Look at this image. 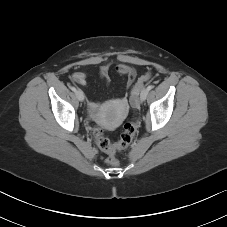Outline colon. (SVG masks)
<instances>
[{"instance_id": "1", "label": "colon", "mask_w": 227, "mask_h": 227, "mask_svg": "<svg viewBox=\"0 0 227 227\" xmlns=\"http://www.w3.org/2000/svg\"><path fill=\"white\" fill-rule=\"evenodd\" d=\"M152 78L151 73H146L142 75L131 92V101L134 103L135 97L139 90ZM136 133V123L135 122H127L123 126L122 133L120 135V139L117 143H111L110 140L104 136L103 132L96 128L94 130V136L97 142L98 147L108 154L107 163L111 166L119 165V160L116 157V153L120 150H123L129 146L132 142Z\"/></svg>"}]
</instances>
